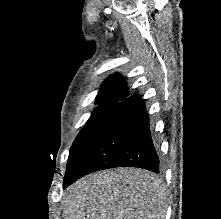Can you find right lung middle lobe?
<instances>
[{
	"label": "right lung middle lobe",
	"instance_id": "obj_1",
	"mask_svg": "<svg viewBox=\"0 0 221 219\" xmlns=\"http://www.w3.org/2000/svg\"><path fill=\"white\" fill-rule=\"evenodd\" d=\"M98 106L91 117L87 121L84 128L80 131L76 137L69 156L84 142V140L90 135V133L96 128V126L103 120V118L118 104L117 102H102L98 103Z\"/></svg>",
	"mask_w": 221,
	"mask_h": 219
}]
</instances>
